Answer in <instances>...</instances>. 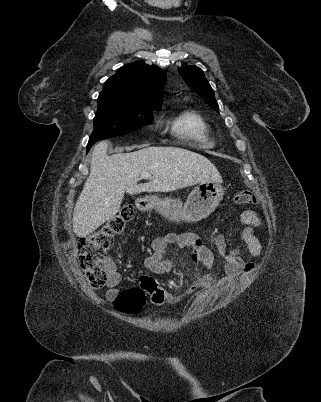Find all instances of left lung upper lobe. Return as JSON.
Segmentation results:
<instances>
[{
    "label": "left lung upper lobe",
    "instance_id": "left-lung-upper-lobe-1",
    "mask_svg": "<svg viewBox=\"0 0 321 402\" xmlns=\"http://www.w3.org/2000/svg\"><path fill=\"white\" fill-rule=\"evenodd\" d=\"M179 73L191 89L204 98L205 102L211 108L219 112V107L214 97V91L200 68L196 66H186L179 69Z\"/></svg>",
    "mask_w": 321,
    "mask_h": 402
}]
</instances>
